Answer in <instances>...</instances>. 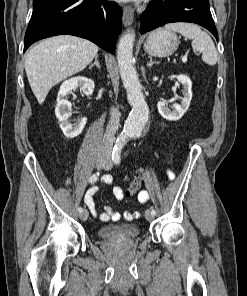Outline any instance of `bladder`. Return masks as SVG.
Returning a JSON list of instances; mask_svg holds the SVG:
<instances>
[{"label":"bladder","instance_id":"1","mask_svg":"<svg viewBox=\"0 0 247 296\" xmlns=\"http://www.w3.org/2000/svg\"><path fill=\"white\" fill-rule=\"evenodd\" d=\"M140 234V228L134 223L105 225L98 229V236L106 241L134 239Z\"/></svg>","mask_w":247,"mask_h":296}]
</instances>
